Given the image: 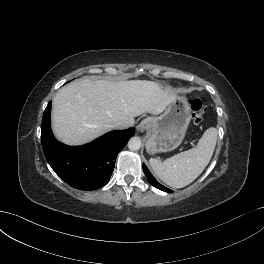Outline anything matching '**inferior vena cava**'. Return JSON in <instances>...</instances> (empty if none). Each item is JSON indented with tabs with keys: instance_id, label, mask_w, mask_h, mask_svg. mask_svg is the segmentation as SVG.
Segmentation results:
<instances>
[{
	"instance_id": "obj_1",
	"label": "inferior vena cava",
	"mask_w": 264,
	"mask_h": 264,
	"mask_svg": "<svg viewBox=\"0 0 264 264\" xmlns=\"http://www.w3.org/2000/svg\"><path fill=\"white\" fill-rule=\"evenodd\" d=\"M114 128L116 129H125L127 128L126 124L123 122H117L113 125Z\"/></svg>"
}]
</instances>
